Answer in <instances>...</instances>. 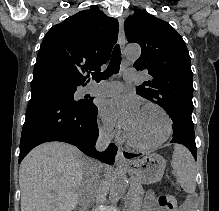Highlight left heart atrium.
I'll return each mask as SVG.
<instances>
[{
  "instance_id": "39dd6f15",
  "label": "left heart atrium",
  "mask_w": 219,
  "mask_h": 211,
  "mask_svg": "<svg viewBox=\"0 0 219 211\" xmlns=\"http://www.w3.org/2000/svg\"><path fill=\"white\" fill-rule=\"evenodd\" d=\"M140 110L135 97L119 95L103 103L101 116L107 124L129 131L135 124Z\"/></svg>"
}]
</instances>
